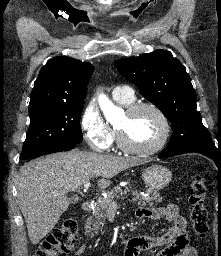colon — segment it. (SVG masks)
Masks as SVG:
<instances>
[{
	"mask_svg": "<svg viewBox=\"0 0 221 256\" xmlns=\"http://www.w3.org/2000/svg\"><path fill=\"white\" fill-rule=\"evenodd\" d=\"M206 191L204 177L199 174L193 176L189 184L190 219L193 231L199 238H205L209 231ZM77 239V221L66 219L41 242L34 256H66L74 249Z\"/></svg>",
	"mask_w": 221,
	"mask_h": 256,
	"instance_id": "1",
	"label": "colon"
}]
</instances>
